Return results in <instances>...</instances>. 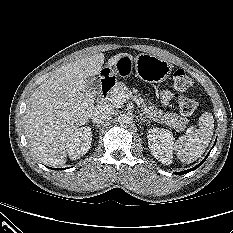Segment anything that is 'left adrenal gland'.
<instances>
[{"label":"left adrenal gland","instance_id":"a2214340","mask_svg":"<svg viewBox=\"0 0 233 233\" xmlns=\"http://www.w3.org/2000/svg\"><path fill=\"white\" fill-rule=\"evenodd\" d=\"M140 119H141V122H142V123L147 122V124H151V121L148 120V119H145L142 115H140Z\"/></svg>","mask_w":233,"mask_h":233}]
</instances>
